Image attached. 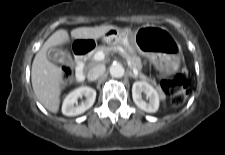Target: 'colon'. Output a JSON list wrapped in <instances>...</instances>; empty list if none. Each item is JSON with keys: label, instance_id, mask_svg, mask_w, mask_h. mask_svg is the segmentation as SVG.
<instances>
[{"label": "colon", "instance_id": "colon-1", "mask_svg": "<svg viewBox=\"0 0 225 155\" xmlns=\"http://www.w3.org/2000/svg\"><path fill=\"white\" fill-rule=\"evenodd\" d=\"M61 71L66 81L72 75V68L68 64L63 65ZM161 87L170 96L174 105L182 104L188 94V80L181 72L165 77L161 82Z\"/></svg>", "mask_w": 225, "mask_h": 155}]
</instances>
